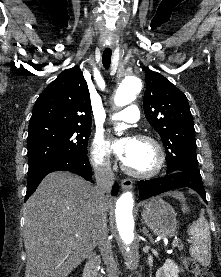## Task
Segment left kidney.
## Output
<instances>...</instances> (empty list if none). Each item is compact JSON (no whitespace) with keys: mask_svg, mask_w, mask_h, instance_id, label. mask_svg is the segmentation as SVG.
<instances>
[{"mask_svg":"<svg viewBox=\"0 0 221 277\" xmlns=\"http://www.w3.org/2000/svg\"><path fill=\"white\" fill-rule=\"evenodd\" d=\"M180 270L178 265L171 259H167L164 266L156 272V277H178Z\"/></svg>","mask_w":221,"mask_h":277,"instance_id":"obj_1","label":"left kidney"}]
</instances>
